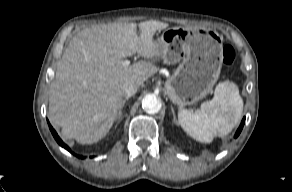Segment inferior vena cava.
Returning a JSON list of instances; mask_svg holds the SVG:
<instances>
[{"label": "inferior vena cava", "mask_w": 292, "mask_h": 192, "mask_svg": "<svg viewBox=\"0 0 292 192\" xmlns=\"http://www.w3.org/2000/svg\"><path fill=\"white\" fill-rule=\"evenodd\" d=\"M138 87L133 83H126L123 86V90L125 93L126 98L133 96L137 92Z\"/></svg>", "instance_id": "1"}]
</instances>
